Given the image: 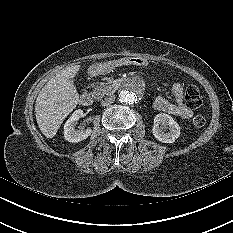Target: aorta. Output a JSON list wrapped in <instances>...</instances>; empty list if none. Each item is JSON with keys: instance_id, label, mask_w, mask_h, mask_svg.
<instances>
[{"instance_id": "1", "label": "aorta", "mask_w": 233, "mask_h": 233, "mask_svg": "<svg viewBox=\"0 0 233 233\" xmlns=\"http://www.w3.org/2000/svg\"><path fill=\"white\" fill-rule=\"evenodd\" d=\"M144 94V85L137 79L127 82L119 93V101L123 104H134Z\"/></svg>"}]
</instances>
